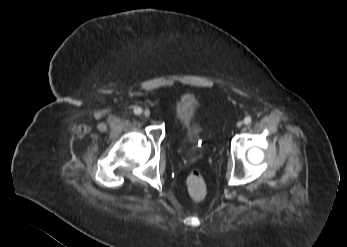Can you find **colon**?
Listing matches in <instances>:
<instances>
[{
  "instance_id": "obj_1",
  "label": "colon",
  "mask_w": 347,
  "mask_h": 247,
  "mask_svg": "<svg viewBox=\"0 0 347 247\" xmlns=\"http://www.w3.org/2000/svg\"><path fill=\"white\" fill-rule=\"evenodd\" d=\"M187 191L194 201H201L205 198L207 189L201 172L193 170L187 179Z\"/></svg>"
}]
</instances>
